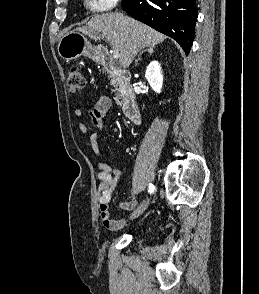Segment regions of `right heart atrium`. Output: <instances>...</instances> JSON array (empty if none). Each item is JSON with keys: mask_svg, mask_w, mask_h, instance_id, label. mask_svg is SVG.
<instances>
[{"mask_svg": "<svg viewBox=\"0 0 259 294\" xmlns=\"http://www.w3.org/2000/svg\"><path fill=\"white\" fill-rule=\"evenodd\" d=\"M118 0H85L89 10L96 13H103L112 9Z\"/></svg>", "mask_w": 259, "mask_h": 294, "instance_id": "obj_1", "label": "right heart atrium"}]
</instances>
